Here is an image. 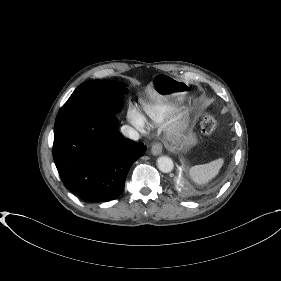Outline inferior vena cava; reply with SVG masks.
I'll return each mask as SVG.
<instances>
[{"instance_id":"obj_1","label":"inferior vena cava","mask_w":281,"mask_h":281,"mask_svg":"<svg viewBox=\"0 0 281 281\" xmlns=\"http://www.w3.org/2000/svg\"><path fill=\"white\" fill-rule=\"evenodd\" d=\"M121 133L125 137L130 138L135 141L138 140L140 137L139 133L134 128H132L131 126H128V125H124L121 127Z\"/></svg>"}]
</instances>
